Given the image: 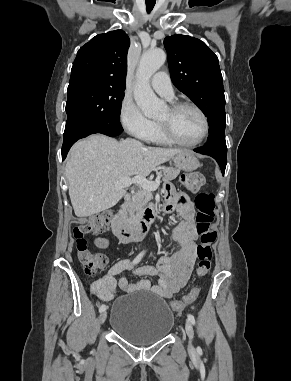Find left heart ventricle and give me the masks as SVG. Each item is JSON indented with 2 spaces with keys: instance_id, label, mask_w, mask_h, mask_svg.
<instances>
[{
  "instance_id": "left-heart-ventricle-1",
  "label": "left heart ventricle",
  "mask_w": 291,
  "mask_h": 381,
  "mask_svg": "<svg viewBox=\"0 0 291 381\" xmlns=\"http://www.w3.org/2000/svg\"><path fill=\"white\" fill-rule=\"evenodd\" d=\"M157 121L170 125L176 137L184 142L197 140L203 132V121L192 109H183L172 115L168 108L157 118Z\"/></svg>"
}]
</instances>
